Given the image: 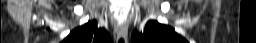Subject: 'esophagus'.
Wrapping results in <instances>:
<instances>
[{
	"label": "esophagus",
	"instance_id": "esophagus-1",
	"mask_svg": "<svg viewBox=\"0 0 256 43\" xmlns=\"http://www.w3.org/2000/svg\"><path fill=\"white\" fill-rule=\"evenodd\" d=\"M119 28L121 30V33L119 34V36L121 35L124 39V42L127 43L128 41V24L126 21H124L122 24L119 25ZM119 37L116 36V40L118 42Z\"/></svg>",
	"mask_w": 256,
	"mask_h": 43
}]
</instances>
